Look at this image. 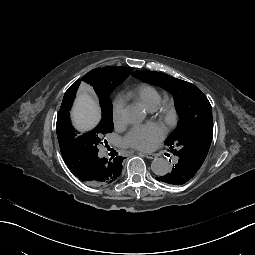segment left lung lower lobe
Listing matches in <instances>:
<instances>
[{"instance_id":"obj_1","label":"left lung lower lobe","mask_w":255,"mask_h":255,"mask_svg":"<svg viewBox=\"0 0 255 255\" xmlns=\"http://www.w3.org/2000/svg\"><path fill=\"white\" fill-rule=\"evenodd\" d=\"M192 179L193 172L180 162L173 165L164 176L158 175L156 177L159 183H165L167 186L174 185L175 187H186Z\"/></svg>"}]
</instances>
